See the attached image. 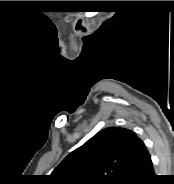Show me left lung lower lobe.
<instances>
[{
  "instance_id": "obj_1",
  "label": "left lung lower lobe",
  "mask_w": 174,
  "mask_h": 184,
  "mask_svg": "<svg viewBox=\"0 0 174 184\" xmlns=\"http://www.w3.org/2000/svg\"><path fill=\"white\" fill-rule=\"evenodd\" d=\"M155 178L150 155L142 142L124 184H151Z\"/></svg>"
}]
</instances>
